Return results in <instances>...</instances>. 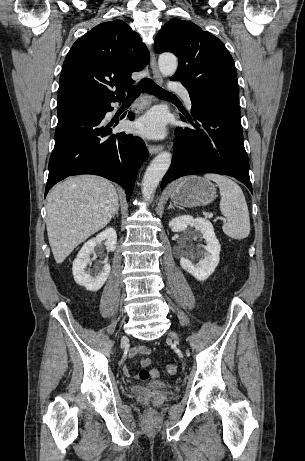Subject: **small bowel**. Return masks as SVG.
<instances>
[{"label":"small bowel","instance_id":"obj_1","mask_svg":"<svg viewBox=\"0 0 305 461\" xmlns=\"http://www.w3.org/2000/svg\"><path fill=\"white\" fill-rule=\"evenodd\" d=\"M151 349L146 347V346H136L134 348H132L130 351H129V356L131 358H134L135 356L137 355H150L151 354ZM151 358L149 357H142L140 359V365L142 367H147L151 364ZM152 375L154 377H157L158 376V371L157 370H153L152 372ZM123 374L126 376V377H131L133 376V374L131 373L130 369L128 366H125L123 368Z\"/></svg>","mask_w":305,"mask_h":461}]
</instances>
